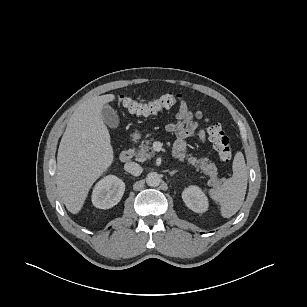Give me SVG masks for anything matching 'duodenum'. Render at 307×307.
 Listing matches in <instances>:
<instances>
[{"label": "duodenum", "instance_id": "duodenum-1", "mask_svg": "<svg viewBox=\"0 0 307 307\" xmlns=\"http://www.w3.org/2000/svg\"><path fill=\"white\" fill-rule=\"evenodd\" d=\"M133 154L134 152L132 149L122 151L120 154V161L124 163L129 162L132 159Z\"/></svg>", "mask_w": 307, "mask_h": 307}]
</instances>
